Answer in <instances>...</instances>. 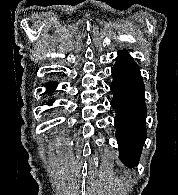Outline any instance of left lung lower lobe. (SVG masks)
I'll return each mask as SVG.
<instances>
[{
	"label": "left lung lower lobe",
	"instance_id": "obj_1",
	"mask_svg": "<svg viewBox=\"0 0 178 195\" xmlns=\"http://www.w3.org/2000/svg\"><path fill=\"white\" fill-rule=\"evenodd\" d=\"M111 106L116 111V138L120 159L132 167L138 163L146 138L145 86L140 68L127 52L120 51L112 68Z\"/></svg>",
	"mask_w": 178,
	"mask_h": 195
}]
</instances>
